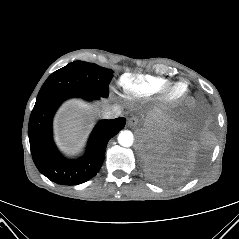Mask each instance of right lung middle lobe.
<instances>
[{"label": "right lung middle lobe", "instance_id": "obj_1", "mask_svg": "<svg viewBox=\"0 0 239 239\" xmlns=\"http://www.w3.org/2000/svg\"><path fill=\"white\" fill-rule=\"evenodd\" d=\"M113 71L96 64L75 61L52 73L38 98L54 93H82L108 97Z\"/></svg>", "mask_w": 239, "mask_h": 239}]
</instances>
